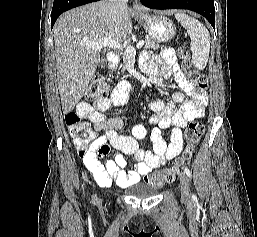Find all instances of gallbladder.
<instances>
[{"label": "gallbladder", "mask_w": 257, "mask_h": 237, "mask_svg": "<svg viewBox=\"0 0 257 237\" xmlns=\"http://www.w3.org/2000/svg\"><path fill=\"white\" fill-rule=\"evenodd\" d=\"M105 62H106V60L102 58L99 62V65L102 67L105 64Z\"/></svg>", "instance_id": "bac80fb5"}]
</instances>
